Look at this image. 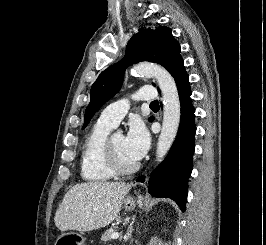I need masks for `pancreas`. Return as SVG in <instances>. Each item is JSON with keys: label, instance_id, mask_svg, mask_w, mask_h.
I'll list each match as a JSON object with an SVG mask.
<instances>
[{"label": "pancreas", "instance_id": "cf45deb5", "mask_svg": "<svg viewBox=\"0 0 266 245\" xmlns=\"http://www.w3.org/2000/svg\"><path fill=\"white\" fill-rule=\"evenodd\" d=\"M113 233H116L115 229H109V231H105L104 235L101 237V241H104V243H107V241H113V239H111Z\"/></svg>", "mask_w": 266, "mask_h": 245}]
</instances>
